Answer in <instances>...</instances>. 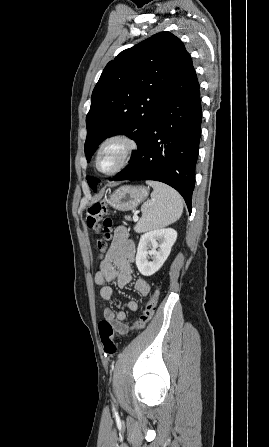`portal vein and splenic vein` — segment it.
<instances>
[{"instance_id":"1","label":"portal vein and splenic vein","mask_w":269,"mask_h":447,"mask_svg":"<svg viewBox=\"0 0 269 447\" xmlns=\"http://www.w3.org/2000/svg\"><path fill=\"white\" fill-rule=\"evenodd\" d=\"M138 220H139V218H138L137 214H136V216H133V222H138Z\"/></svg>"}]
</instances>
